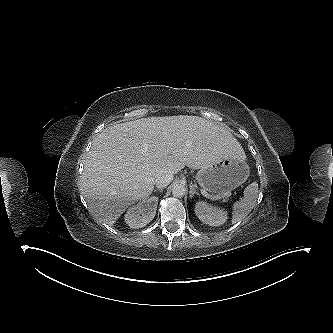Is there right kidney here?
<instances>
[{
	"mask_svg": "<svg viewBox=\"0 0 333 333\" xmlns=\"http://www.w3.org/2000/svg\"><path fill=\"white\" fill-rule=\"evenodd\" d=\"M158 197H150L131 206L125 214V222L133 229H139L151 222L156 214Z\"/></svg>",
	"mask_w": 333,
	"mask_h": 333,
	"instance_id": "obj_1",
	"label": "right kidney"
}]
</instances>
